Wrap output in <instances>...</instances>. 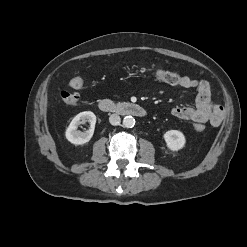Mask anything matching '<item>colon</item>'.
<instances>
[{"mask_svg": "<svg viewBox=\"0 0 247 247\" xmlns=\"http://www.w3.org/2000/svg\"><path fill=\"white\" fill-rule=\"evenodd\" d=\"M148 72H151L158 80L173 86L178 85L181 81V77L175 72L163 69L149 70ZM70 86L73 91H62L61 99L66 105L76 106L80 102V95L76 90L83 88L84 81L81 77L76 76L70 81ZM192 129L196 132H202L205 126L202 123H194Z\"/></svg>", "mask_w": 247, "mask_h": 247, "instance_id": "1", "label": "colon"}]
</instances>
